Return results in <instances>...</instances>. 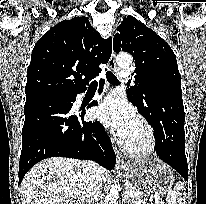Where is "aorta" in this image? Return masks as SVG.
I'll use <instances>...</instances> for the list:
<instances>
[{
    "label": "aorta",
    "mask_w": 206,
    "mask_h": 204,
    "mask_svg": "<svg viewBox=\"0 0 206 204\" xmlns=\"http://www.w3.org/2000/svg\"><path fill=\"white\" fill-rule=\"evenodd\" d=\"M116 62L120 67L129 66L132 63V56L125 53L119 54L116 58ZM118 196H119V185L115 184L111 187L110 191L105 197L104 204H118L117 203Z\"/></svg>",
    "instance_id": "1"
}]
</instances>
